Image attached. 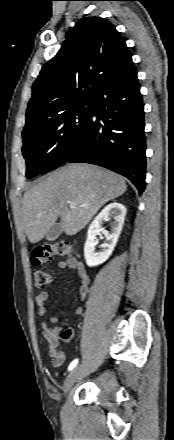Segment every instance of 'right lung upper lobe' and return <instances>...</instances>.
Wrapping results in <instances>:
<instances>
[{"label": "right lung upper lobe", "mask_w": 174, "mask_h": 440, "mask_svg": "<svg viewBox=\"0 0 174 440\" xmlns=\"http://www.w3.org/2000/svg\"><path fill=\"white\" fill-rule=\"evenodd\" d=\"M131 61L125 40L109 20L80 19L34 82L23 131L90 99L105 79Z\"/></svg>", "instance_id": "right-lung-upper-lobe-1"}]
</instances>
